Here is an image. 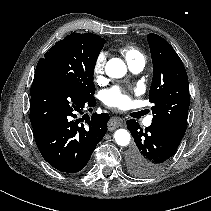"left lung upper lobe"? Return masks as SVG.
Returning <instances> with one entry per match:
<instances>
[{"label": "left lung upper lobe", "instance_id": "1", "mask_svg": "<svg viewBox=\"0 0 211 211\" xmlns=\"http://www.w3.org/2000/svg\"><path fill=\"white\" fill-rule=\"evenodd\" d=\"M147 38L153 62L149 92V101L153 104L152 124L181 141L190 105L187 73L180 57L165 39L153 33Z\"/></svg>", "mask_w": 211, "mask_h": 211}]
</instances>
